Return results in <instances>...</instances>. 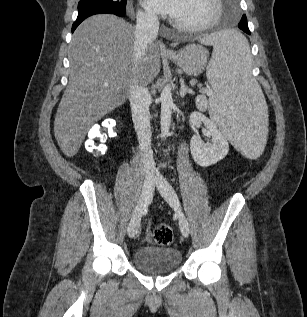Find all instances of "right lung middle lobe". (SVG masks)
Wrapping results in <instances>:
<instances>
[{
	"label": "right lung middle lobe",
	"mask_w": 307,
	"mask_h": 317,
	"mask_svg": "<svg viewBox=\"0 0 307 317\" xmlns=\"http://www.w3.org/2000/svg\"><path fill=\"white\" fill-rule=\"evenodd\" d=\"M126 1L127 0H80L78 3V13L92 9L121 13L125 11Z\"/></svg>",
	"instance_id": "dd1d6c3e"
}]
</instances>
